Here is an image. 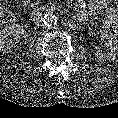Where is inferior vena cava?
Here are the masks:
<instances>
[{"label": "inferior vena cava", "mask_w": 118, "mask_h": 118, "mask_svg": "<svg viewBox=\"0 0 118 118\" xmlns=\"http://www.w3.org/2000/svg\"><path fill=\"white\" fill-rule=\"evenodd\" d=\"M42 21H43V19L36 20V21H35L36 26H39V25L42 23Z\"/></svg>", "instance_id": "inferior-vena-cava-1"}]
</instances>
